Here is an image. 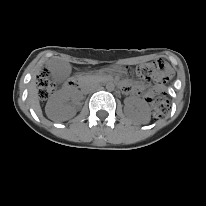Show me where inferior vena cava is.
<instances>
[{
	"label": "inferior vena cava",
	"instance_id": "1",
	"mask_svg": "<svg viewBox=\"0 0 206 206\" xmlns=\"http://www.w3.org/2000/svg\"><path fill=\"white\" fill-rule=\"evenodd\" d=\"M97 88V86H93L89 89L86 90V93L90 92V91H94Z\"/></svg>",
	"mask_w": 206,
	"mask_h": 206
}]
</instances>
